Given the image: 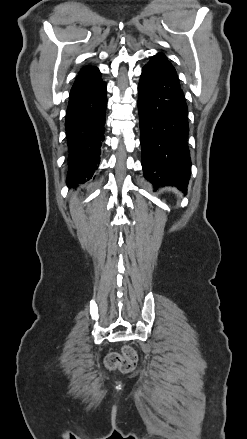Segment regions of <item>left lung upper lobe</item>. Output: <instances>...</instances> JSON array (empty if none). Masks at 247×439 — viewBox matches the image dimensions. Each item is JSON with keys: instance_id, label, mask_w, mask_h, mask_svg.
<instances>
[{"instance_id": "obj_1", "label": "left lung upper lobe", "mask_w": 247, "mask_h": 439, "mask_svg": "<svg viewBox=\"0 0 247 439\" xmlns=\"http://www.w3.org/2000/svg\"><path fill=\"white\" fill-rule=\"evenodd\" d=\"M153 58L159 60L167 68H169L170 70H172L173 72L176 73L175 68L172 66V64L168 61V59L166 58V56L163 53H158L157 55L153 56Z\"/></svg>"}]
</instances>
